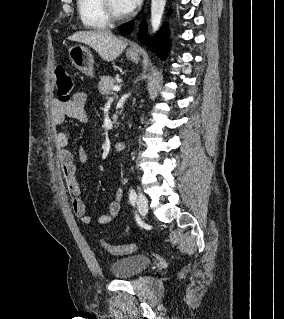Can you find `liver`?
Returning a JSON list of instances; mask_svg holds the SVG:
<instances>
[{"instance_id":"liver-1","label":"liver","mask_w":284,"mask_h":319,"mask_svg":"<svg viewBox=\"0 0 284 319\" xmlns=\"http://www.w3.org/2000/svg\"><path fill=\"white\" fill-rule=\"evenodd\" d=\"M68 39L89 45L108 62L115 60L128 45L127 41L116 37L110 30L78 31Z\"/></svg>"}]
</instances>
